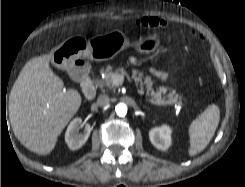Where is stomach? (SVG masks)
Instances as JSON below:
<instances>
[{"instance_id": "stomach-1", "label": "stomach", "mask_w": 245, "mask_h": 187, "mask_svg": "<svg viewBox=\"0 0 245 187\" xmlns=\"http://www.w3.org/2000/svg\"><path fill=\"white\" fill-rule=\"evenodd\" d=\"M159 44L160 40L156 34L130 43L123 32L115 30L90 40L82 37L68 38L52 50L50 61L57 68L68 69L81 58L102 62L114 58L129 46H134L140 53H151L159 48Z\"/></svg>"}]
</instances>
